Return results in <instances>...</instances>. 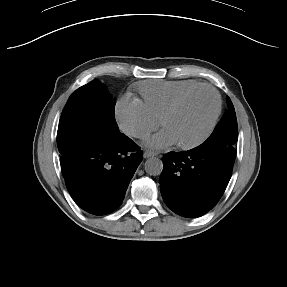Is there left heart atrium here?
<instances>
[{
    "label": "left heart atrium",
    "mask_w": 287,
    "mask_h": 287,
    "mask_svg": "<svg viewBox=\"0 0 287 287\" xmlns=\"http://www.w3.org/2000/svg\"><path fill=\"white\" fill-rule=\"evenodd\" d=\"M174 144H176L174 137L166 129H163L162 131L154 135L147 142V145L153 149H165Z\"/></svg>",
    "instance_id": "1"
}]
</instances>
